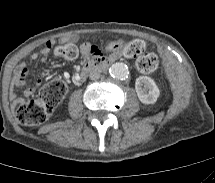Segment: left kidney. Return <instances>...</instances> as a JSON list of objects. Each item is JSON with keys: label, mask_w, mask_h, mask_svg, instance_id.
Instances as JSON below:
<instances>
[{"label": "left kidney", "mask_w": 215, "mask_h": 183, "mask_svg": "<svg viewBox=\"0 0 215 183\" xmlns=\"http://www.w3.org/2000/svg\"><path fill=\"white\" fill-rule=\"evenodd\" d=\"M135 90L139 100L144 104H154L160 95L154 80L147 76H139L136 79Z\"/></svg>", "instance_id": "5707ae66"}]
</instances>
